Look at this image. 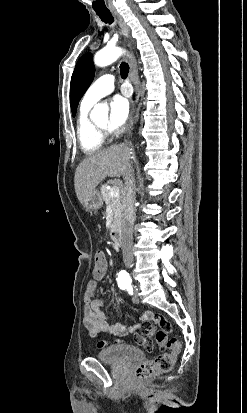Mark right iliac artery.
Returning a JSON list of instances; mask_svg holds the SVG:
<instances>
[{
	"instance_id": "82829eb1",
	"label": "right iliac artery",
	"mask_w": 247,
	"mask_h": 413,
	"mask_svg": "<svg viewBox=\"0 0 247 413\" xmlns=\"http://www.w3.org/2000/svg\"><path fill=\"white\" fill-rule=\"evenodd\" d=\"M126 287H127V286H126ZM126 287H125V286H121L120 288L124 290V289H126Z\"/></svg>"
}]
</instances>
